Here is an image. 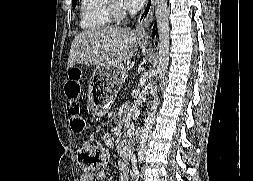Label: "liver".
<instances>
[{
    "label": "liver",
    "mask_w": 253,
    "mask_h": 181,
    "mask_svg": "<svg viewBox=\"0 0 253 181\" xmlns=\"http://www.w3.org/2000/svg\"><path fill=\"white\" fill-rule=\"evenodd\" d=\"M136 34L129 28L102 26L77 34L71 44L67 68L76 64L110 66L129 63Z\"/></svg>",
    "instance_id": "1"
}]
</instances>
